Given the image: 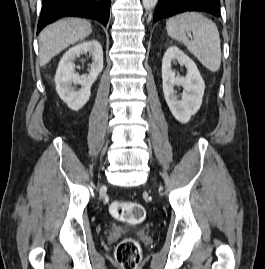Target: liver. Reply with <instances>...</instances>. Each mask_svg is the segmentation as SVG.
Returning a JSON list of instances; mask_svg holds the SVG:
<instances>
[{
	"instance_id": "liver-1",
	"label": "liver",
	"mask_w": 265,
	"mask_h": 269,
	"mask_svg": "<svg viewBox=\"0 0 265 269\" xmlns=\"http://www.w3.org/2000/svg\"><path fill=\"white\" fill-rule=\"evenodd\" d=\"M91 33L90 22L78 18L61 19L47 26L39 35L40 65H46L58 53Z\"/></svg>"
}]
</instances>
